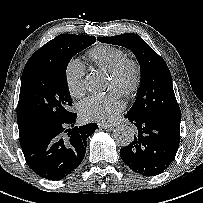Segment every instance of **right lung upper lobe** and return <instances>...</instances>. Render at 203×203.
Returning a JSON list of instances; mask_svg holds the SVG:
<instances>
[{"label": "right lung upper lobe", "mask_w": 203, "mask_h": 203, "mask_svg": "<svg viewBox=\"0 0 203 203\" xmlns=\"http://www.w3.org/2000/svg\"><path fill=\"white\" fill-rule=\"evenodd\" d=\"M80 36L78 35H72V34H62L45 45H43L39 50H37L27 61L26 65L40 62L42 60H46L53 56L57 50L62 48L63 46L67 45L72 40L78 38ZM17 122H18V128H19V136L26 135L28 133H31L33 131H36L37 129L31 125V123L28 121V119L25 117V115L17 110Z\"/></svg>", "instance_id": "obj_1"}]
</instances>
